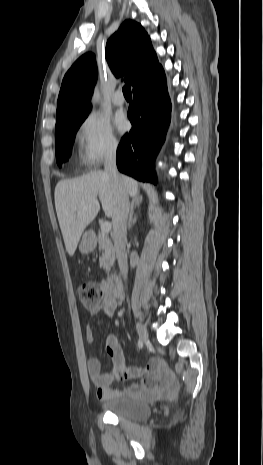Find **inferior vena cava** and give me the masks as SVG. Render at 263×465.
Returning a JSON list of instances; mask_svg holds the SVG:
<instances>
[{"mask_svg": "<svg viewBox=\"0 0 263 465\" xmlns=\"http://www.w3.org/2000/svg\"><path fill=\"white\" fill-rule=\"evenodd\" d=\"M104 173L110 177L116 187L117 201L112 216L113 241L121 275L126 279L128 260L126 254L127 219L129 214V198L123 186L116 166V146L111 147L105 155Z\"/></svg>", "mask_w": 263, "mask_h": 465, "instance_id": "1", "label": "inferior vena cava"}]
</instances>
